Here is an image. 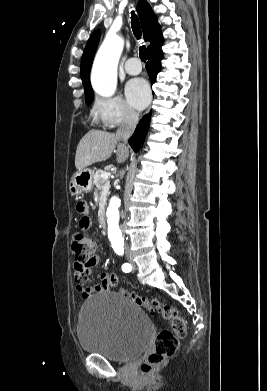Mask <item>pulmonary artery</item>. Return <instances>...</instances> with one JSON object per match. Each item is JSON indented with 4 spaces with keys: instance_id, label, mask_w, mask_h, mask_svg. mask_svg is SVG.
I'll use <instances>...</instances> for the list:
<instances>
[{
    "instance_id": "e3ab8cb5",
    "label": "pulmonary artery",
    "mask_w": 267,
    "mask_h": 391,
    "mask_svg": "<svg viewBox=\"0 0 267 391\" xmlns=\"http://www.w3.org/2000/svg\"><path fill=\"white\" fill-rule=\"evenodd\" d=\"M141 62L138 58H129L125 63V71L130 75H137L141 72Z\"/></svg>"
}]
</instances>
